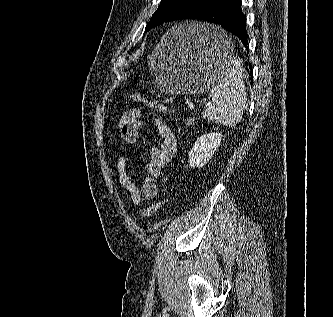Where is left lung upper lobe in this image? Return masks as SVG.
Here are the masks:
<instances>
[{"label":"left lung upper lobe","mask_w":333,"mask_h":317,"mask_svg":"<svg viewBox=\"0 0 333 317\" xmlns=\"http://www.w3.org/2000/svg\"><path fill=\"white\" fill-rule=\"evenodd\" d=\"M213 1L214 0H162L145 30L148 31L163 22L184 19L189 12Z\"/></svg>","instance_id":"obj_1"}]
</instances>
